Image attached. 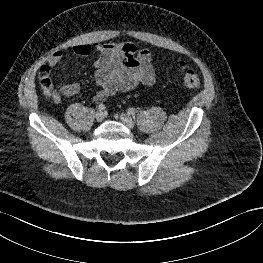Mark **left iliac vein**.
Returning <instances> with one entry per match:
<instances>
[{
    "label": "left iliac vein",
    "instance_id": "4c4485c4",
    "mask_svg": "<svg viewBox=\"0 0 263 263\" xmlns=\"http://www.w3.org/2000/svg\"><path fill=\"white\" fill-rule=\"evenodd\" d=\"M121 121L123 122L124 125H126L129 129H133L135 126V123L131 116L127 113H122L120 115Z\"/></svg>",
    "mask_w": 263,
    "mask_h": 263
}]
</instances>
